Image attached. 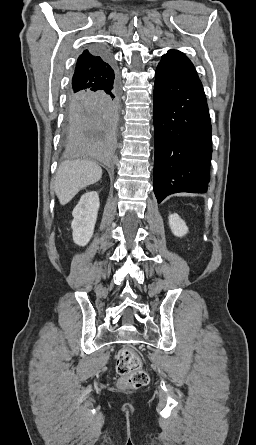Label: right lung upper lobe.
Masks as SVG:
<instances>
[{
    "label": "right lung upper lobe",
    "instance_id": "1",
    "mask_svg": "<svg viewBox=\"0 0 256 445\" xmlns=\"http://www.w3.org/2000/svg\"><path fill=\"white\" fill-rule=\"evenodd\" d=\"M112 77L110 61L103 52L83 51L76 63L70 95L94 91L107 84Z\"/></svg>",
    "mask_w": 256,
    "mask_h": 445
}]
</instances>
